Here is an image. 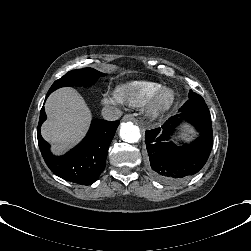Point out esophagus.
Here are the masks:
<instances>
[{
    "mask_svg": "<svg viewBox=\"0 0 251 251\" xmlns=\"http://www.w3.org/2000/svg\"><path fill=\"white\" fill-rule=\"evenodd\" d=\"M123 121H135V118L132 114H125L122 118Z\"/></svg>",
    "mask_w": 251,
    "mask_h": 251,
    "instance_id": "1",
    "label": "esophagus"
}]
</instances>
